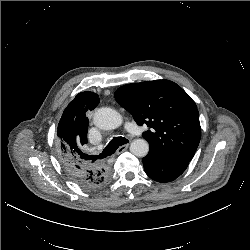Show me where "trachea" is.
Segmentation results:
<instances>
[{"label":"trachea","instance_id":"3493384b","mask_svg":"<svg viewBox=\"0 0 250 250\" xmlns=\"http://www.w3.org/2000/svg\"><path fill=\"white\" fill-rule=\"evenodd\" d=\"M129 140L126 139L125 137H113V139L109 142V144L106 146V148L103 150V152L97 156H95V158H106L110 155H112L118 148L119 146H122L126 143H128ZM91 159L94 157H90Z\"/></svg>","mask_w":250,"mask_h":250}]
</instances>
